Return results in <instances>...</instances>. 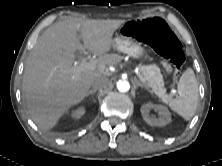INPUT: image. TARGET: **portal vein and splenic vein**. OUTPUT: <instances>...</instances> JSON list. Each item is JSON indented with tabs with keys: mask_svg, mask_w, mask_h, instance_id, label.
Masks as SVG:
<instances>
[{
	"mask_svg": "<svg viewBox=\"0 0 222 166\" xmlns=\"http://www.w3.org/2000/svg\"><path fill=\"white\" fill-rule=\"evenodd\" d=\"M96 68H97L96 61L94 60L88 61L85 58L81 61L79 65L74 66V72L77 73V72H82V71H90V70H95ZM138 77L142 82L144 83L146 82V79L141 74H138Z\"/></svg>",
	"mask_w": 222,
	"mask_h": 166,
	"instance_id": "obj_1",
	"label": "portal vein and splenic vein"
}]
</instances>
